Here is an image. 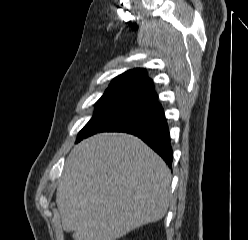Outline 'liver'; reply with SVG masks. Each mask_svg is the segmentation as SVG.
<instances>
[{"mask_svg":"<svg viewBox=\"0 0 248 240\" xmlns=\"http://www.w3.org/2000/svg\"><path fill=\"white\" fill-rule=\"evenodd\" d=\"M171 172L139 138L103 133L70 152L56 202L75 240H116L164 217Z\"/></svg>","mask_w":248,"mask_h":240,"instance_id":"obj_1","label":"liver"}]
</instances>
